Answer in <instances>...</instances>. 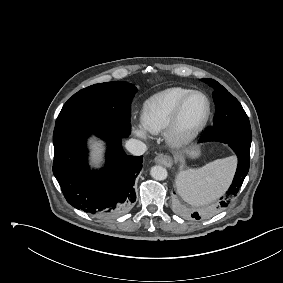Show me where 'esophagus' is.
<instances>
[{
	"instance_id": "1",
	"label": "esophagus",
	"mask_w": 283,
	"mask_h": 283,
	"mask_svg": "<svg viewBox=\"0 0 283 283\" xmlns=\"http://www.w3.org/2000/svg\"><path fill=\"white\" fill-rule=\"evenodd\" d=\"M154 161L155 163L166 167H171L173 165V160L171 156L167 154H159L158 156L155 157Z\"/></svg>"
}]
</instances>
